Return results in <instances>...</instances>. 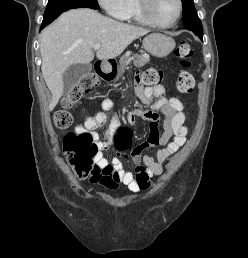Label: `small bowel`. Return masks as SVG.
I'll list each match as a JSON object with an SVG mask.
<instances>
[{
	"mask_svg": "<svg viewBox=\"0 0 248 258\" xmlns=\"http://www.w3.org/2000/svg\"><path fill=\"white\" fill-rule=\"evenodd\" d=\"M137 95L140 100L151 105V111L133 110L128 114V122L134 123L136 118L141 117L150 121V133L145 142L136 145L130 155V159L144 166H138L135 172L124 169L122 161L115 157L109 163L103 156L102 151L107 149L112 142L113 136L120 125L118 116L109 118L106 114L113 107L110 98L101 101L102 111L94 116H85L82 124L76 126V132H89L97 144L99 152L95 157V163L103 169L107 175L99 176L98 182L108 188H114L118 183H123L130 191H145L150 186V178L162 173V165L175 152H177L186 142L188 129L185 126V114L182 101L177 97L167 98L165 88L162 85L146 86L137 85ZM153 98L156 101L153 102ZM158 113L164 115L163 132H158ZM107 126L104 140H100L96 130L99 127ZM152 146H161L156 158L151 155H143V152ZM116 174V176H113ZM89 185H94V180L88 181Z\"/></svg>",
	"mask_w": 248,
	"mask_h": 258,
	"instance_id": "1",
	"label": "small bowel"
}]
</instances>
